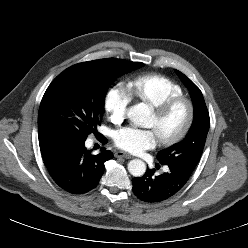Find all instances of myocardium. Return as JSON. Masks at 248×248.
Listing matches in <instances>:
<instances>
[{
  "label": "myocardium",
  "instance_id": "myocardium-1",
  "mask_svg": "<svg viewBox=\"0 0 248 248\" xmlns=\"http://www.w3.org/2000/svg\"><path fill=\"white\" fill-rule=\"evenodd\" d=\"M179 104H184L187 108V117L185 124L183 127L173 136L167 137V138H161L159 139L160 143L165 146H171L174 145L181 140H183L186 135L189 133L193 122L195 118V106L191 99L185 97V96H175L172 98H169L162 103H160L157 106L153 107L154 115L158 119L164 118L166 115H168L176 106Z\"/></svg>",
  "mask_w": 248,
  "mask_h": 248
}]
</instances>
